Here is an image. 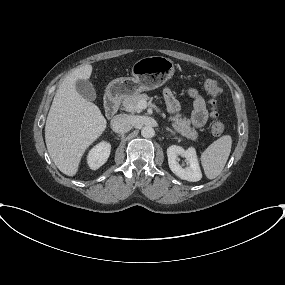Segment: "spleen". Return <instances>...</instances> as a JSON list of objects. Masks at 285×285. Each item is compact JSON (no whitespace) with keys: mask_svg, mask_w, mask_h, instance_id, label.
Here are the masks:
<instances>
[{"mask_svg":"<svg viewBox=\"0 0 285 285\" xmlns=\"http://www.w3.org/2000/svg\"><path fill=\"white\" fill-rule=\"evenodd\" d=\"M231 147V136L223 135L202 152L200 160L208 179H215L220 175L230 155Z\"/></svg>","mask_w":285,"mask_h":285,"instance_id":"1","label":"spleen"}]
</instances>
